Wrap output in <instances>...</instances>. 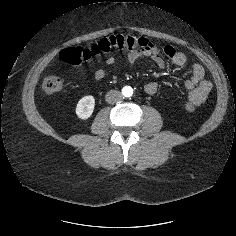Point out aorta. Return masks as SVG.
<instances>
[{
    "label": "aorta",
    "mask_w": 236,
    "mask_h": 236,
    "mask_svg": "<svg viewBox=\"0 0 236 236\" xmlns=\"http://www.w3.org/2000/svg\"><path fill=\"white\" fill-rule=\"evenodd\" d=\"M122 94H123L125 97H130V96H132V94H133V89H132L130 86H125V87H123V89H122Z\"/></svg>",
    "instance_id": "762f6f07"
}]
</instances>
